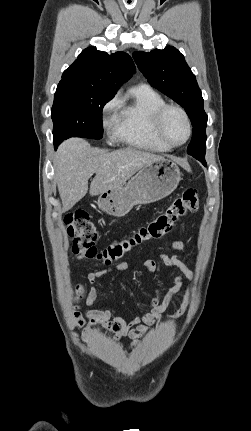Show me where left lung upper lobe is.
Listing matches in <instances>:
<instances>
[{"label":"left lung upper lobe","mask_w":251,"mask_h":431,"mask_svg":"<svg viewBox=\"0 0 251 431\" xmlns=\"http://www.w3.org/2000/svg\"><path fill=\"white\" fill-rule=\"evenodd\" d=\"M133 58L151 86L185 109L193 126L192 140L187 152L206 165L207 115L196 77L184 56L175 47L167 46L162 50L134 52Z\"/></svg>","instance_id":"left-lung-upper-lobe-1"}]
</instances>
